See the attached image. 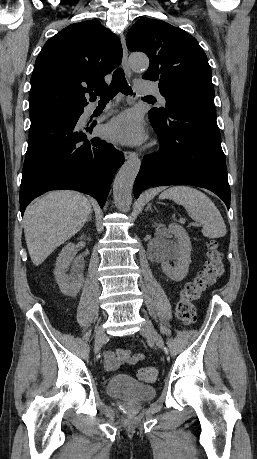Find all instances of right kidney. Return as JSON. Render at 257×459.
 <instances>
[{"label":"right kidney","mask_w":257,"mask_h":459,"mask_svg":"<svg viewBox=\"0 0 257 459\" xmlns=\"http://www.w3.org/2000/svg\"><path fill=\"white\" fill-rule=\"evenodd\" d=\"M83 237H81L82 239ZM85 239V237H84ZM87 240H90L89 238ZM77 253L73 243H68L59 254L55 264V280L66 296L76 295L83 286L84 276L79 266L72 268V272L67 274L70 264Z\"/></svg>","instance_id":"obj_1"}]
</instances>
